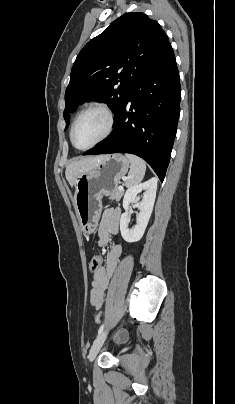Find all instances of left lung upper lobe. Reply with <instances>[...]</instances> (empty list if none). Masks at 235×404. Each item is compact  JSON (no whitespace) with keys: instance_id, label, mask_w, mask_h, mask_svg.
Wrapping results in <instances>:
<instances>
[{"instance_id":"left-lung-upper-lobe-1","label":"left lung upper lobe","mask_w":235,"mask_h":404,"mask_svg":"<svg viewBox=\"0 0 235 404\" xmlns=\"http://www.w3.org/2000/svg\"><path fill=\"white\" fill-rule=\"evenodd\" d=\"M169 40L158 22L142 12L125 13L78 54L65 92L66 126L70 113L87 100H102L115 113L144 71Z\"/></svg>"}]
</instances>
